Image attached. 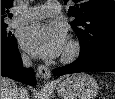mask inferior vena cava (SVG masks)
I'll return each instance as SVG.
<instances>
[{"instance_id": "1", "label": "inferior vena cava", "mask_w": 115, "mask_h": 99, "mask_svg": "<svg viewBox=\"0 0 115 99\" xmlns=\"http://www.w3.org/2000/svg\"><path fill=\"white\" fill-rule=\"evenodd\" d=\"M22 60H23V65H24V66H26V67L31 66V60H30V58H29L28 56L23 55V56H22ZM18 96H19V97H14V98L23 99L24 90H20Z\"/></svg>"}]
</instances>
